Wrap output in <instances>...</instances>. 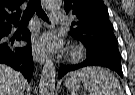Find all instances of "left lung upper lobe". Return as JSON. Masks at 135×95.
Here are the masks:
<instances>
[{
  "instance_id": "5c2ea615",
  "label": "left lung upper lobe",
  "mask_w": 135,
  "mask_h": 95,
  "mask_svg": "<svg viewBox=\"0 0 135 95\" xmlns=\"http://www.w3.org/2000/svg\"><path fill=\"white\" fill-rule=\"evenodd\" d=\"M66 13L77 16L71 24L70 35L81 41L86 49L118 45L108 10L102 0H64Z\"/></svg>"
}]
</instances>
